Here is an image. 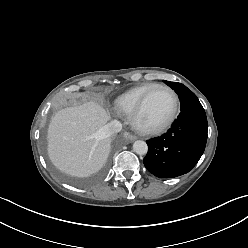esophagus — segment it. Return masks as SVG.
<instances>
[{"label": "esophagus", "mask_w": 248, "mask_h": 248, "mask_svg": "<svg viewBox=\"0 0 248 248\" xmlns=\"http://www.w3.org/2000/svg\"><path fill=\"white\" fill-rule=\"evenodd\" d=\"M126 138H127L130 142H132V141H134V140L137 139V137H136L135 135H132V134H129V133L126 134Z\"/></svg>", "instance_id": "34e87169"}]
</instances>
